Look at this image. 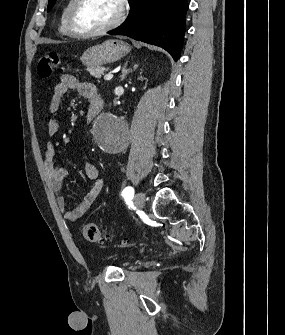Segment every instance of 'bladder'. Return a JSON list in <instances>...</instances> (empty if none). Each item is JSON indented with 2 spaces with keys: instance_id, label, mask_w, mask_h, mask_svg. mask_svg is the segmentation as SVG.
I'll return each instance as SVG.
<instances>
[{
  "instance_id": "31cf9c89",
  "label": "bladder",
  "mask_w": 285,
  "mask_h": 335,
  "mask_svg": "<svg viewBox=\"0 0 285 335\" xmlns=\"http://www.w3.org/2000/svg\"><path fill=\"white\" fill-rule=\"evenodd\" d=\"M124 258H133V263L138 259V254H127Z\"/></svg>"
}]
</instances>
